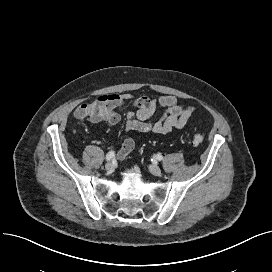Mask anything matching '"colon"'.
Here are the masks:
<instances>
[{
	"mask_svg": "<svg viewBox=\"0 0 272 272\" xmlns=\"http://www.w3.org/2000/svg\"><path fill=\"white\" fill-rule=\"evenodd\" d=\"M203 140H204L203 136L199 133H196L191 138V143L196 146L200 145L203 142Z\"/></svg>",
	"mask_w": 272,
	"mask_h": 272,
	"instance_id": "obj_1",
	"label": "colon"
}]
</instances>
